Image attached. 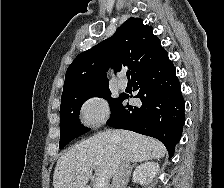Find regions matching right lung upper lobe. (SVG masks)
Masks as SVG:
<instances>
[{
    "label": "right lung upper lobe",
    "mask_w": 224,
    "mask_h": 188,
    "mask_svg": "<svg viewBox=\"0 0 224 188\" xmlns=\"http://www.w3.org/2000/svg\"><path fill=\"white\" fill-rule=\"evenodd\" d=\"M167 52L152 27L140 18H129L115 34L80 53L68 67L63 93L108 85L109 67L120 71L127 66L132 78L155 65Z\"/></svg>",
    "instance_id": "right-lung-upper-lobe-1"
}]
</instances>
